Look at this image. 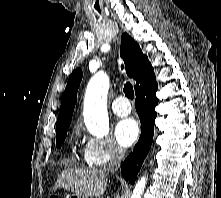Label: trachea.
<instances>
[{
  "label": "trachea",
  "mask_w": 221,
  "mask_h": 198,
  "mask_svg": "<svg viewBox=\"0 0 221 198\" xmlns=\"http://www.w3.org/2000/svg\"><path fill=\"white\" fill-rule=\"evenodd\" d=\"M124 93L125 95L129 98V99H133L134 98V91H133V87L132 85L127 82L125 85H124Z\"/></svg>",
  "instance_id": "3493384b"
}]
</instances>
